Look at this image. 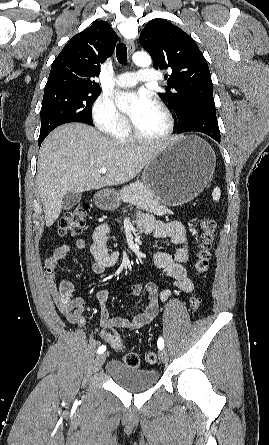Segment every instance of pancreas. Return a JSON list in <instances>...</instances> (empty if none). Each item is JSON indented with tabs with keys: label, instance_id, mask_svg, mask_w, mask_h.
I'll use <instances>...</instances> for the list:
<instances>
[{
	"label": "pancreas",
	"instance_id": "1",
	"mask_svg": "<svg viewBox=\"0 0 269 445\" xmlns=\"http://www.w3.org/2000/svg\"><path fill=\"white\" fill-rule=\"evenodd\" d=\"M120 197L123 202L135 205L138 208L151 212L157 216L172 214V211L162 205L160 200L157 199L141 182H135L122 188Z\"/></svg>",
	"mask_w": 269,
	"mask_h": 445
}]
</instances>
